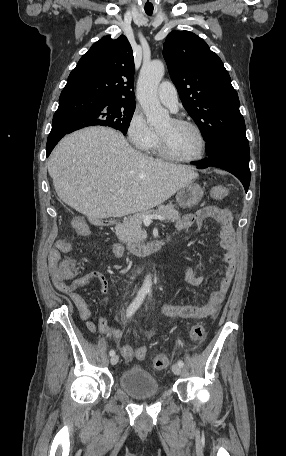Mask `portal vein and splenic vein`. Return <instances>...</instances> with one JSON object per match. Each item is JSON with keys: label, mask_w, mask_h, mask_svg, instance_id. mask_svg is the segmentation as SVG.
<instances>
[{"label": "portal vein and splenic vein", "mask_w": 286, "mask_h": 456, "mask_svg": "<svg viewBox=\"0 0 286 456\" xmlns=\"http://www.w3.org/2000/svg\"><path fill=\"white\" fill-rule=\"evenodd\" d=\"M88 191H91V188H87ZM152 219H157L160 221H164L165 218L161 215H143V222L144 223H151Z\"/></svg>", "instance_id": "obj_1"}]
</instances>
